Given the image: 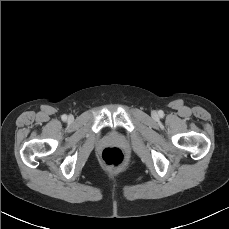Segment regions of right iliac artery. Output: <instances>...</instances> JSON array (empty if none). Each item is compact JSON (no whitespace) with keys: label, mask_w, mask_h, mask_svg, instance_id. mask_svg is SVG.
Segmentation results:
<instances>
[{"label":"right iliac artery","mask_w":229,"mask_h":229,"mask_svg":"<svg viewBox=\"0 0 229 229\" xmlns=\"http://www.w3.org/2000/svg\"><path fill=\"white\" fill-rule=\"evenodd\" d=\"M67 119L66 115H62V120L65 121Z\"/></svg>","instance_id":"obj_1"}]
</instances>
